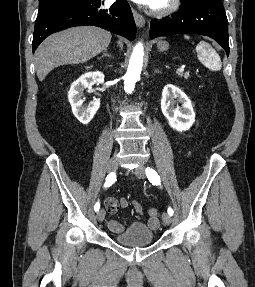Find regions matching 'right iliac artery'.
<instances>
[{
    "label": "right iliac artery",
    "mask_w": 255,
    "mask_h": 287,
    "mask_svg": "<svg viewBox=\"0 0 255 287\" xmlns=\"http://www.w3.org/2000/svg\"><path fill=\"white\" fill-rule=\"evenodd\" d=\"M116 181V173L115 172H112L110 173L107 177H106V181H105V184H104V187H110L114 182ZM100 208V203L97 202L94 206V210L95 211H98Z\"/></svg>",
    "instance_id": "right-iliac-artery-1"
}]
</instances>
